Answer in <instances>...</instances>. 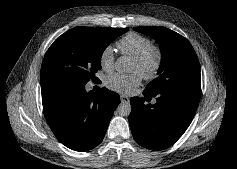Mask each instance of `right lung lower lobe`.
Returning a JSON list of instances; mask_svg holds the SVG:
<instances>
[{
  "label": "right lung lower lobe",
  "mask_w": 237,
  "mask_h": 169,
  "mask_svg": "<svg viewBox=\"0 0 237 169\" xmlns=\"http://www.w3.org/2000/svg\"><path fill=\"white\" fill-rule=\"evenodd\" d=\"M45 118L57 139L75 151H87L101 143L114 110L117 93L105 87L86 92L85 85L72 82L41 84Z\"/></svg>",
  "instance_id": "right-lung-lower-lobe-1"
}]
</instances>
